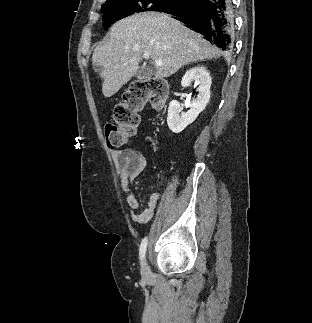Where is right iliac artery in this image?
<instances>
[{
  "mask_svg": "<svg viewBox=\"0 0 312 323\" xmlns=\"http://www.w3.org/2000/svg\"><path fill=\"white\" fill-rule=\"evenodd\" d=\"M146 248H147V238L145 237L144 239H142L140 249H139V254H140L141 261H143V259L145 257Z\"/></svg>",
  "mask_w": 312,
  "mask_h": 323,
  "instance_id": "obj_1",
  "label": "right iliac artery"
}]
</instances>
